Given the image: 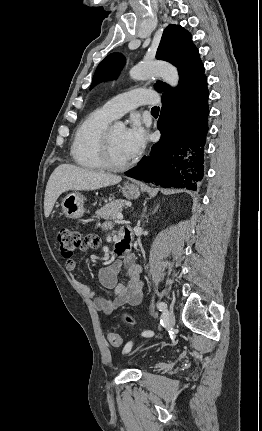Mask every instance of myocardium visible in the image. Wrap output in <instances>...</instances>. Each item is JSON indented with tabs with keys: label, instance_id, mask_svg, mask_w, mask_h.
<instances>
[{
	"label": "myocardium",
	"instance_id": "obj_1",
	"mask_svg": "<svg viewBox=\"0 0 262 431\" xmlns=\"http://www.w3.org/2000/svg\"><path fill=\"white\" fill-rule=\"evenodd\" d=\"M101 154L104 166L110 170H124L133 164V161L130 160L127 162H117L114 160L111 149V128L109 127L103 134Z\"/></svg>",
	"mask_w": 262,
	"mask_h": 431
}]
</instances>
